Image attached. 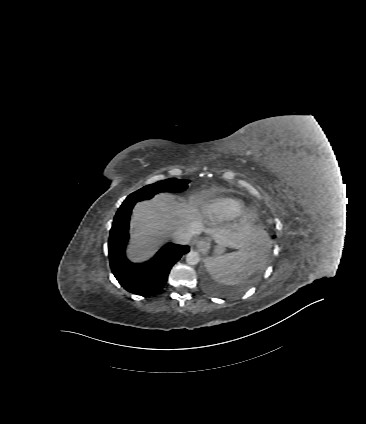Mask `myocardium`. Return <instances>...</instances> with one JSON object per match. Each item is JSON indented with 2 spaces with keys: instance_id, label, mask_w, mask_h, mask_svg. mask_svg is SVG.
Instances as JSON below:
<instances>
[{
  "instance_id": "myocardium-1",
  "label": "myocardium",
  "mask_w": 366,
  "mask_h": 424,
  "mask_svg": "<svg viewBox=\"0 0 366 424\" xmlns=\"http://www.w3.org/2000/svg\"><path fill=\"white\" fill-rule=\"evenodd\" d=\"M256 214L252 210H247L242 217L244 223H251L255 220Z\"/></svg>"
}]
</instances>
